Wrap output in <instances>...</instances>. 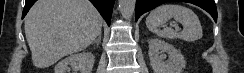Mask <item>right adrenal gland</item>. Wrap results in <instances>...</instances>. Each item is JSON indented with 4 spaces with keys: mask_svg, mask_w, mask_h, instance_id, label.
Wrapping results in <instances>:
<instances>
[{
    "mask_svg": "<svg viewBox=\"0 0 244 73\" xmlns=\"http://www.w3.org/2000/svg\"><path fill=\"white\" fill-rule=\"evenodd\" d=\"M100 43H101V34H99V36L97 37V39H95L93 44H96L97 46H99Z\"/></svg>",
    "mask_w": 244,
    "mask_h": 73,
    "instance_id": "1",
    "label": "right adrenal gland"
}]
</instances>
